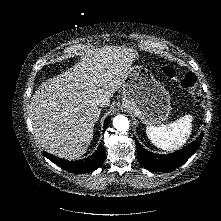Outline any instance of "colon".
I'll list each match as a JSON object with an SVG mask.
<instances>
[{"mask_svg": "<svg viewBox=\"0 0 221 221\" xmlns=\"http://www.w3.org/2000/svg\"><path fill=\"white\" fill-rule=\"evenodd\" d=\"M163 73L167 78L177 82L178 85L184 90H186L192 97L196 96L197 79L194 74L186 73L183 75H178L176 70L169 66L163 69Z\"/></svg>", "mask_w": 221, "mask_h": 221, "instance_id": "obj_1", "label": "colon"}]
</instances>
